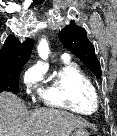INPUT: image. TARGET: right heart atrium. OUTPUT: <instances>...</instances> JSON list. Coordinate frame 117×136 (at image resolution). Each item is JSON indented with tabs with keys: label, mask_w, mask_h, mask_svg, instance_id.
Returning a JSON list of instances; mask_svg holds the SVG:
<instances>
[{
	"label": "right heart atrium",
	"mask_w": 117,
	"mask_h": 136,
	"mask_svg": "<svg viewBox=\"0 0 117 136\" xmlns=\"http://www.w3.org/2000/svg\"><path fill=\"white\" fill-rule=\"evenodd\" d=\"M43 73L37 67L28 69L24 74V83L27 91L38 88V85L42 79Z\"/></svg>",
	"instance_id": "obj_1"
}]
</instances>
